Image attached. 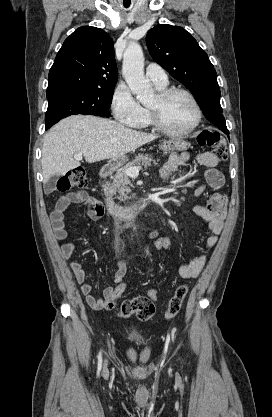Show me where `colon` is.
Masks as SVG:
<instances>
[{"mask_svg": "<svg viewBox=\"0 0 272 417\" xmlns=\"http://www.w3.org/2000/svg\"><path fill=\"white\" fill-rule=\"evenodd\" d=\"M197 142L201 146L210 147L212 153L218 160L227 158V145L225 139L216 131L203 130L197 137ZM87 183L86 173L82 168H75L63 176L57 183L60 191H67L75 187H84ZM172 241L165 236L154 238L153 249L155 251H167L171 248ZM126 288V281H122L115 287L112 296L106 302V308L112 310L114 308V300L119 298ZM189 287L187 284L179 285L174 294L171 296L167 309L165 311L166 318L175 317L180 311L182 304L188 294ZM158 298V290L150 289L147 296H139L124 301L119 308V316L127 318L131 315L136 316L140 320H149L155 312V301Z\"/></svg>", "mask_w": 272, "mask_h": 417, "instance_id": "obj_1", "label": "colon"}]
</instances>
